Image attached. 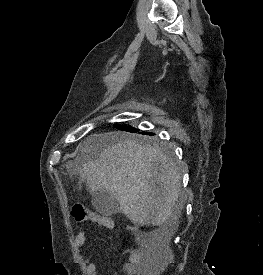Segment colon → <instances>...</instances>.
Returning a JSON list of instances; mask_svg holds the SVG:
<instances>
[{"label":"colon","mask_w":263,"mask_h":275,"mask_svg":"<svg viewBox=\"0 0 263 275\" xmlns=\"http://www.w3.org/2000/svg\"><path fill=\"white\" fill-rule=\"evenodd\" d=\"M71 214L74 219L78 222L83 221H92V222H101L102 219L95 215L94 213L86 210L82 205L76 204L73 206L71 210ZM149 257H150V264H151V272L149 275H154L157 271L158 266L161 262V255L166 253V251L162 247L152 246L149 248Z\"/></svg>","instance_id":"1"}]
</instances>
